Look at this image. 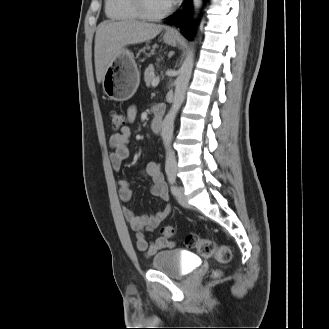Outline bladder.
Segmentation results:
<instances>
[{
    "label": "bladder",
    "instance_id": "obj_1",
    "mask_svg": "<svg viewBox=\"0 0 329 329\" xmlns=\"http://www.w3.org/2000/svg\"><path fill=\"white\" fill-rule=\"evenodd\" d=\"M151 265L154 271L163 272L172 278H182L187 274L179 249H168L156 253Z\"/></svg>",
    "mask_w": 329,
    "mask_h": 329
}]
</instances>
